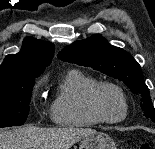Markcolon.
I'll use <instances>...</instances> for the list:
<instances>
[{"label":"colon","mask_w":155,"mask_h":149,"mask_svg":"<svg viewBox=\"0 0 155 149\" xmlns=\"http://www.w3.org/2000/svg\"><path fill=\"white\" fill-rule=\"evenodd\" d=\"M138 149H150V145L147 143H142L138 146Z\"/></svg>","instance_id":"1"}]
</instances>
